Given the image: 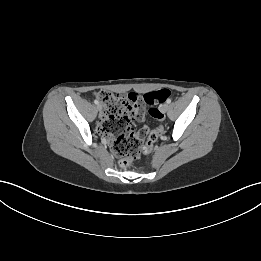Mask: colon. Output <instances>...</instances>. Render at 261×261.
I'll list each match as a JSON object with an SVG mask.
<instances>
[{"instance_id":"5ec220e1","label":"colon","mask_w":261,"mask_h":261,"mask_svg":"<svg viewBox=\"0 0 261 261\" xmlns=\"http://www.w3.org/2000/svg\"><path fill=\"white\" fill-rule=\"evenodd\" d=\"M170 95V90L161 89L145 94L143 100L147 104L154 105L163 102ZM96 97L104 105V113L99 125L100 132L113 136L112 151L119 157V166L126 168L151 149L161 135V131H165V125H160V129L149 130V136L143 144L144 139L140 138V132H135L133 128V110L139 97L130 95L125 98L105 90L98 91ZM149 114L154 119H163L159 108H150Z\"/></svg>"}]
</instances>
